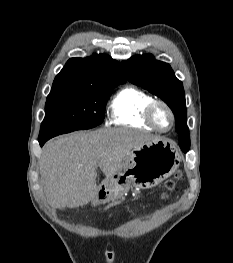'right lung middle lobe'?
<instances>
[{
	"instance_id": "1",
	"label": "right lung middle lobe",
	"mask_w": 233,
	"mask_h": 263,
	"mask_svg": "<svg viewBox=\"0 0 233 263\" xmlns=\"http://www.w3.org/2000/svg\"><path fill=\"white\" fill-rule=\"evenodd\" d=\"M114 88L48 96L46 115L41 124L38 141L101 124L105 117L107 101Z\"/></svg>"
}]
</instances>
